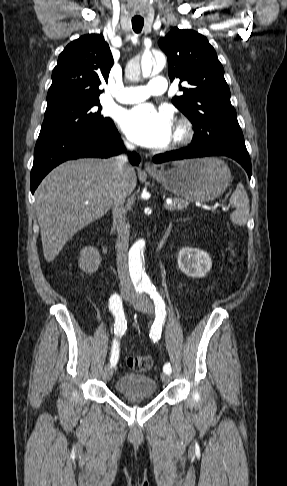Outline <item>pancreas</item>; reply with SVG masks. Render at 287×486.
Instances as JSON below:
<instances>
[{"instance_id": "cf45deb5", "label": "pancreas", "mask_w": 287, "mask_h": 486, "mask_svg": "<svg viewBox=\"0 0 287 486\" xmlns=\"http://www.w3.org/2000/svg\"><path fill=\"white\" fill-rule=\"evenodd\" d=\"M189 205V202L185 199H181V198H173V205L170 206V207H167L166 209L168 211H182L184 209H186Z\"/></svg>"}]
</instances>
